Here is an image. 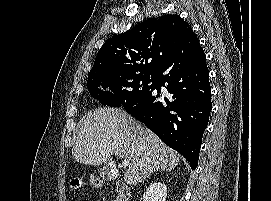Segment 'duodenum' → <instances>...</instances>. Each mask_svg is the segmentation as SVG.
<instances>
[{
	"mask_svg": "<svg viewBox=\"0 0 271 201\" xmlns=\"http://www.w3.org/2000/svg\"><path fill=\"white\" fill-rule=\"evenodd\" d=\"M116 189V201H129L130 200V190L126 184L121 181H117L115 184Z\"/></svg>",
	"mask_w": 271,
	"mask_h": 201,
	"instance_id": "duodenum-1",
	"label": "duodenum"
}]
</instances>
